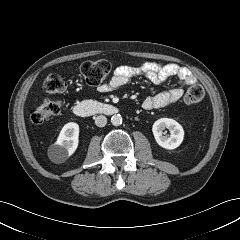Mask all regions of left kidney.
Segmentation results:
<instances>
[{"label":"left kidney","mask_w":240,"mask_h":240,"mask_svg":"<svg viewBox=\"0 0 240 240\" xmlns=\"http://www.w3.org/2000/svg\"><path fill=\"white\" fill-rule=\"evenodd\" d=\"M165 128L170 131L169 137L163 135L162 131ZM152 132L157 144L170 150L180 146L184 138L183 127L171 118H161L155 121L152 127Z\"/></svg>","instance_id":"obj_1"}]
</instances>
